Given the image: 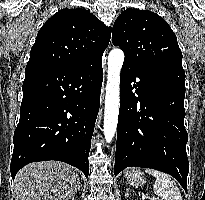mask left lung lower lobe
Masks as SVG:
<instances>
[{"mask_svg":"<svg viewBox=\"0 0 205 200\" xmlns=\"http://www.w3.org/2000/svg\"><path fill=\"white\" fill-rule=\"evenodd\" d=\"M184 80L177 62L140 69L122 66L115 175L126 167L152 168L175 177L187 192Z\"/></svg>","mask_w":205,"mask_h":200,"instance_id":"1","label":"left lung lower lobe"}]
</instances>
